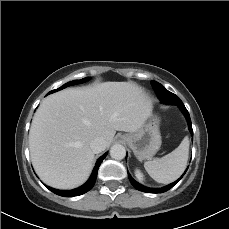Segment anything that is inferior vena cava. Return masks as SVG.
<instances>
[{"instance_id": "1", "label": "inferior vena cava", "mask_w": 229, "mask_h": 229, "mask_svg": "<svg viewBox=\"0 0 229 229\" xmlns=\"http://www.w3.org/2000/svg\"><path fill=\"white\" fill-rule=\"evenodd\" d=\"M90 147L94 153H100L105 150V140L102 137H97L90 143Z\"/></svg>"}]
</instances>
